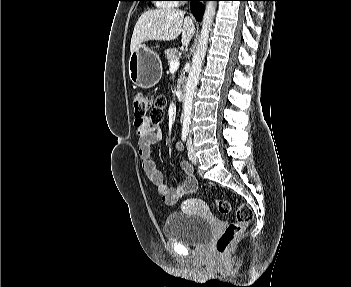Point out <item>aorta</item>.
Returning <instances> with one entry per match:
<instances>
[{
  "label": "aorta",
  "mask_w": 351,
  "mask_h": 287,
  "mask_svg": "<svg viewBox=\"0 0 351 287\" xmlns=\"http://www.w3.org/2000/svg\"><path fill=\"white\" fill-rule=\"evenodd\" d=\"M216 2L209 1L203 16V24L200 38L196 47V51L192 58L191 69L187 78L185 87V96L183 104V127L188 128L191 121V111L193 105V96L199 81V75L202 69L203 61L208 48L209 32L215 15Z\"/></svg>",
  "instance_id": "762f6f07"
}]
</instances>
